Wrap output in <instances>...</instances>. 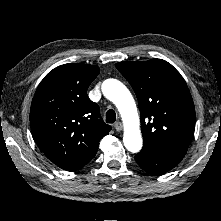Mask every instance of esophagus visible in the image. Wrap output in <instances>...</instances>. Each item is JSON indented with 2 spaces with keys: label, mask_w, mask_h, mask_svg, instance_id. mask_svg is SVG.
<instances>
[{
  "label": "esophagus",
  "mask_w": 221,
  "mask_h": 221,
  "mask_svg": "<svg viewBox=\"0 0 221 221\" xmlns=\"http://www.w3.org/2000/svg\"><path fill=\"white\" fill-rule=\"evenodd\" d=\"M114 128H115L116 131L120 132L123 129V125H122L121 122H116L115 125H114Z\"/></svg>",
  "instance_id": "1"
}]
</instances>
